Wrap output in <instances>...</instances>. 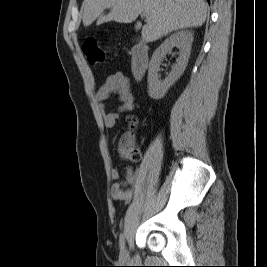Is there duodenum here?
<instances>
[{"label":"duodenum","instance_id":"duodenum-1","mask_svg":"<svg viewBox=\"0 0 267 267\" xmlns=\"http://www.w3.org/2000/svg\"><path fill=\"white\" fill-rule=\"evenodd\" d=\"M148 46L143 43H137L131 51V71L136 79H140L144 76L148 67Z\"/></svg>","mask_w":267,"mask_h":267}]
</instances>
